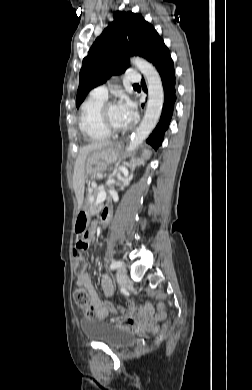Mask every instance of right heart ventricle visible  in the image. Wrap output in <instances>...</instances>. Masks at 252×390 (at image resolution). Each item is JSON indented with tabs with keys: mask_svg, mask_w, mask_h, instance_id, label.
Returning <instances> with one entry per match:
<instances>
[{
	"mask_svg": "<svg viewBox=\"0 0 252 390\" xmlns=\"http://www.w3.org/2000/svg\"><path fill=\"white\" fill-rule=\"evenodd\" d=\"M106 99L89 96L81 105L79 128L87 140L91 142L105 141L110 138L101 126L99 112Z\"/></svg>",
	"mask_w": 252,
	"mask_h": 390,
	"instance_id": "1",
	"label": "right heart ventricle"
}]
</instances>
